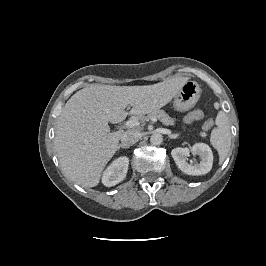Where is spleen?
I'll return each instance as SVG.
<instances>
[{"label":"spleen","instance_id":"3e777b00","mask_svg":"<svg viewBox=\"0 0 266 266\" xmlns=\"http://www.w3.org/2000/svg\"><path fill=\"white\" fill-rule=\"evenodd\" d=\"M215 123L217 127L211 132L210 142L219 154V162L223 163L231 146L230 126L223 111L218 112Z\"/></svg>","mask_w":266,"mask_h":266}]
</instances>
